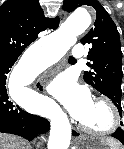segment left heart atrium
Returning <instances> with one entry per match:
<instances>
[{
  "label": "left heart atrium",
  "mask_w": 124,
  "mask_h": 149,
  "mask_svg": "<svg viewBox=\"0 0 124 149\" xmlns=\"http://www.w3.org/2000/svg\"><path fill=\"white\" fill-rule=\"evenodd\" d=\"M49 93L76 120L81 121L92 106L90 91L69 74H60L48 85Z\"/></svg>",
  "instance_id": "1"
}]
</instances>
